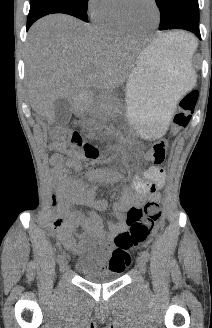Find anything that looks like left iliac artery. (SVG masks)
Listing matches in <instances>:
<instances>
[{"label": "left iliac artery", "instance_id": "44dca946", "mask_svg": "<svg viewBox=\"0 0 212 328\" xmlns=\"http://www.w3.org/2000/svg\"><path fill=\"white\" fill-rule=\"evenodd\" d=\"M141 256L144 258L145 261H148L149 260V252H148V250H144L142 252V255Z\"/></svg>", "mask_w": 212, "mask_h": 328}]
</instances>
